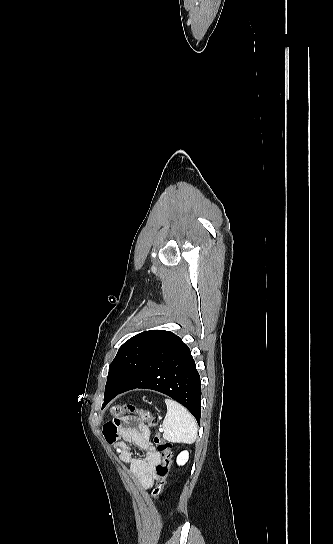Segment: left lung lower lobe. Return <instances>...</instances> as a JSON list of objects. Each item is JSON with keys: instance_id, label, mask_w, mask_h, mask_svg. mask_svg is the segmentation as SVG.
<instances>
[{"instance_id": "0a47b994", "label": "left lung lower lobe", "mask_w": 333, "mask_h": 544, "mask_svg": "<svg viewBox=\"0 0 333 544\" xmlns=\"http://www.w3.org/2000/svg\"><path fill=\"white\" fill-rule=\"evenodd\" d=\"M135 388L164 393L185 406L200 425L201 382L189 347L174 336L120 390L105 392L102 409L118 394Z\"/></svg>"}]
</instances>
